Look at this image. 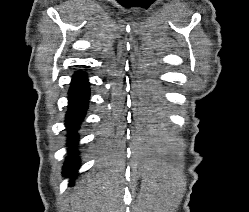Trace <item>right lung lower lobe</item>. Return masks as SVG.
I'll list each match as a JSON object with an SVG mask.
<instances>
[{
	"instance_id": "98d812e1",
	"label": "right lung lower lobe",
	"mask_w": 249,
	"mask_h": 212,
	"mask_svg": "<svg viewBox=\"0 0 249 212\" xmlns=\"http://www.w3.org/2000/svg\"><path fill=\"white\" fill-rule=\"evenodd\" d=\"M89 83L85 72H77L74 75L71 87L69 90V110L67 112L66 126L71 132L70 145L74 146L77 141L76 130L84 117L89 99ZM70 156L67 158L63 174L74 175L79 167V159L77 153L70 151ZM73 180V179H72ZM73 182H70L72 185Z\"/></svg>"
}]
</instances>
